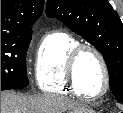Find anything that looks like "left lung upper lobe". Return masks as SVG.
<instances>
[{"instance_id":"left-lung-upper-lobe-1","label":"left lung upper lobe","mask_w":123,"mask_h":113,"mask_svg":"<svg viewBox=\"0 0 123 113\" xmlns=\"http://www.w3.org/2000/svg\"><path fill=\"white\" fill-rule=\"evenodd\" d=\"M46 13L100 51L107 63L110 88L123 103V24L107 0H48Z\"/></svg>"}]
</instances>
